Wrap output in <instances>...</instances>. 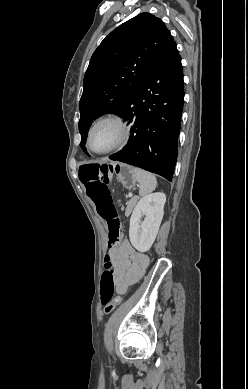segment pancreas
<instances>
[{
  "label": "pancreas",
  "instance_id": "pancreas-1",
  "mask_svg": "<svg viewBox=\"0 0 248 389\" xmlns=\"http://www.w3.org/2000/svg\"><path fill=\"white\" fill-rule=\"evenodd\" d=\"M137 200H138V197L135 196L127 203V208L125 210L126 215H129L132 212Z\"/></svg>",
  "mask_w": 248,
  "mask_h": 389
}]
</instances>
